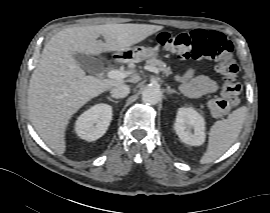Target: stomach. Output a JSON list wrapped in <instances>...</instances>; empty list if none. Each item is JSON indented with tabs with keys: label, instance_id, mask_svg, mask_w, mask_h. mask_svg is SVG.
Wrapping results in <instances>:
<instances>
[{
	"label": "stomach",
	"instance_id": "0dacf381",
	"mask_svg": "<svg viewBox=\"0 0 270 213\" xmlns=\"http://www.w3.org/2000/svg\"><path fill=\"white\" fill-rule=\"evenodd\" d=\"M120 56L128 62H140L158 56V49L144 46H135L123 51Z\"/></svg>",
	"mask_w": 270,
	"mask_h": 213
}]
</instances>
